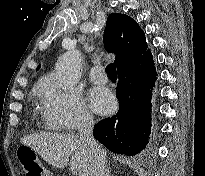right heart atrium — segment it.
I'll use <instances>...</instances> for the list:
<instances>
[{
  "instance_id": "1",
  "label": "right heart atrium",
  "mask_w": 205,
  "mask_h": 176,
  "mask_svg": "<svg viewBox=\"0 0 205 176\" xmlns=\"http://www.w3.org/2000/svg\"><path fill=\"white\" fill-rule=\"evenodd\" d=\"M43 115L53 130L71 131L91 125L93 117L80 94L59 88L47 78L41 90Z\"/></svg>"
}]
</instances>
